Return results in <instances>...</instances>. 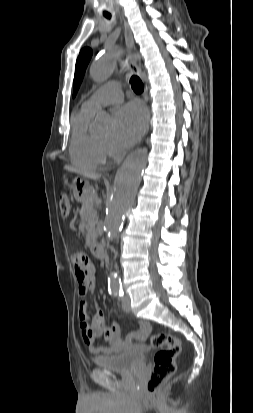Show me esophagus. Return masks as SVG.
Masks as SVG:
<instances>
[{
    "mask_svg": "<svg viewBox=\"0 0 253 413\" xmlns=\"http://www.w3.org/2000/svg\"><path fill=\"white\" fill-rule=\"evenodd\" d=\"M124 37H125V43H126V47H127V51H128L127 63H128L129 70L133 74H136V75L140 76L141 68H140L137 61L135 60V58L132 55V50L134 49L133 35H132V32H131L129 26L127 25V23L125 21H124Z\"/></svg>",
    "mask_w": 253,
    "mask_h": 413,
    "instance_id": "obj_1",
    "label": "esophagus"
}]
</instances>
